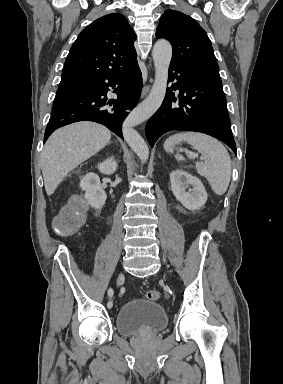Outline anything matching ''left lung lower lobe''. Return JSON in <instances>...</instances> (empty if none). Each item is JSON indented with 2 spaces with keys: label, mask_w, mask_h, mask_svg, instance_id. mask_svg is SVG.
Listing matches in <instances>:
<instances>
[{
  "label": "left lung lower lobe",
  "mask_w": 283,
  "mask_h": 384,
  "mask_svg": "<svg viewBox=\"0 0 283 384\" xmlns=\"http://www.w3.org/2000/svg\"><path fill=\"white\" fill-rule=\"evenodd\" d=\"M174 80L146 125L150 145L153 147L161 135L172 130L196 131L218 138L236 154L221 79L170 65L169 81ZM173 90H179L177 102Z\"/></svg>",
  "instance_id": "left-lung-lower-lobe-1"
}]
</instances>
